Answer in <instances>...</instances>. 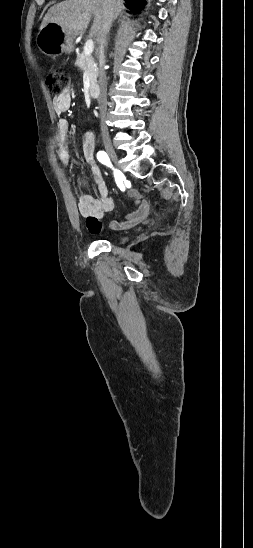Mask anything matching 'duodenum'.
Listing matches in <instances>:
<instances>
[{
  "label": "duodenum",
  "instance_id": "obj_1",
  "mask_svg": "<svg viewBox=\"0 0 253 548\" xmlns=\"http://www.w3.org/2000/svg\"><path fill=\"white\" fill-rule=\"evenodd\" d=\"M89 94L92 98H98L100 94V89L98 86H92L89 90Z\"/></svg>",
  "mask_w": 253,
  "mask_h": 548
}]
</instances>
